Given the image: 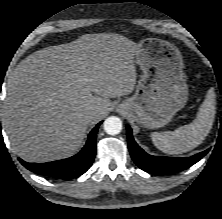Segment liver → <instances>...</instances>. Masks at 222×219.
<instances>
[{"label":"liver","instance_id":"6515ba94","mask_svg":"<svg viewBox=\"0 0 222 219\" xmlns=\"http://www.w3.org/2000/svg\"><path fill=\"white\" fill-rule=\"evenodd\" d=\"M136 49L119 34H86L22 60L8 77L4 104L13 151L32 163L74 155L91 122L110 111V98L134 90Z\"/></svg>","mask_w":222,"mask_h":219}]
</instances>
